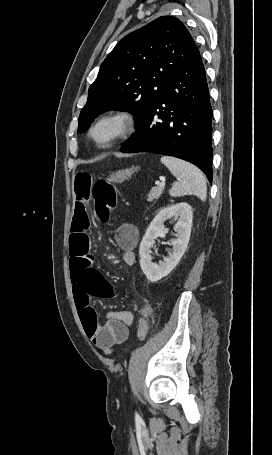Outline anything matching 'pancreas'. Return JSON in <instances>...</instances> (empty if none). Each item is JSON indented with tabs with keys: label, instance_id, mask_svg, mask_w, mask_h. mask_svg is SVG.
Segmentation results:
<instances>
[{
	"label": "pancreas",
	"instance_id": "cf45deb5",
	"mask_svg": "<svg viewBox=\"0 0 272 455\" xmlns=\"http://www.w3.org/2000/svg\"><path fill=\"white\" fill-rule=\"evenodd\" d=\"M163 187H153L149 194L147 195V201L148 202H153L154 200L158 199L160 197V195L162 194L163 192Z\"/></svg>",
	"mask_w": 272,
	"mask_h": 455
}]
</instances>
